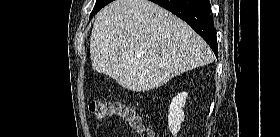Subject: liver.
Returning a JSON list of instances; mask_svg holds the SVG:
<instances>
[{
	"mask_svg": "<svg viewBox=\"0 0 280 137\" xmlns=\"http://www.w3.org/2000/svg\"><path fill=\"white\" fill-rule=\"evenodd\" d=\"M90 54L95 71L136 92L214 60L189 25L149 0H115L104 7L93 25Z\"/></svg>",
	"mask_w": 280,
	"mask_h": 137,
	"instance_id": "liver-1",
	"label": "liver"
}]
</instances>
